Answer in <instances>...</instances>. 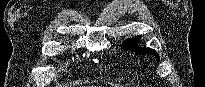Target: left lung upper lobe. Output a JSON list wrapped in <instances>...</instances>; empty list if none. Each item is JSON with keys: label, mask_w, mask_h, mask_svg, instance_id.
I'll return each instance as SVG.
<instances>
[{"label": "left lung upper lobe", "mask_w": 205, "mask_h": 87, "mask_svg": "<svg viewBox=\"0 0 205 87\" xmlns=\"http://www.w3.org/2000/svg\"><path fill=\"white\" fill-rule=\"evenodd\" d=\"M141 36H136L133 39H128L124 41V43L121 45L124 49H128L129 51L135 52L137 54H153L157 62H159V55L156 53L155 50L150 48H141L138 46V41L140 40Z\"/></svg>", "instance_id": "1"}]
</instances>
